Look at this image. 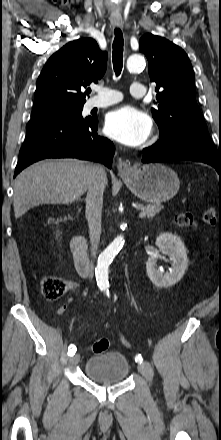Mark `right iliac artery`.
<instances>
[{
    "instance_id": "82829eb1",
    "label": "right iliac artery",
    "mask_w": 221,
    "mask_h": 440,
    "mask_svg": "<svg viewBox=\"0 0 221 440\" xmlns=\"http://www.w3.org/2000/svg\"><path fill=\"white\" fill-rule=\"evenodd\" d=\"M76 350H77V349H76L75 346L70 345V346L68 347V355H69V356H73V355L75 354Z\"/></svg>"
}]
</instances>
